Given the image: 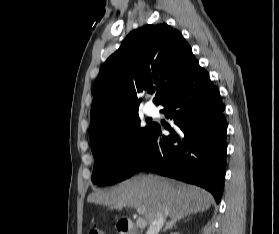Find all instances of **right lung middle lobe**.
Instances as JSON below:
<instances>
[{
    "instance_id": "obj_1",
    "label": "right lung middle lobe",
    "mask_w": 279,
    "mask_h": 234,
    "mask_svg": "<svg viewBox=\"0 0 279 234\" xmlns=\"http://www.w3.org/2000/svg\"><path fill=\"white\" fill-rule=\"evenodd\" d=\"M153 126H142L138 114H135L118 129L92 144V182L112 185L131 177L146 154Z\"/></svg>"
}]
</instances>
